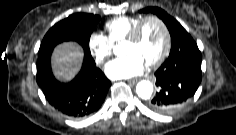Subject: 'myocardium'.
<instances>
[{"instance_id": "myocardium-1", "label": "myocardium", "mask_w": 236, "mask_h": 135, "mask_svg": "<svg viewBox=\"0 0 236 135\" xmlns=\"http://www.w3.org/2000/svg\"><path fill=\"white\" fill-rule=\"evenodd\" d=\"M148 20H154L156 21L162 28L163 33H164V46L163 49L160 53V55L151 62L147 63L148 67H156L159 66L166 58V56L169 53L170 50V46H171V37H170V33H169V29L166 25V23L163 21L162 18H160L157 15H147L144 16L131 30L129 36L124 40V43H135L140 35L141 29L143 27V25L145 24V22H147Z\"/></svg>"}]
</instances>
